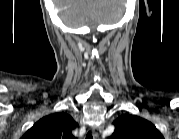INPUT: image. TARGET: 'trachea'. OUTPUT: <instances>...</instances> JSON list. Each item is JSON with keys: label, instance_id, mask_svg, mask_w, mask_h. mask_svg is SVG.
I'll return each instance as SVG.
<instances>
[{"label": "trachea", "instance_id": "trachea-1", "mask_svg": "<svg viewBox=\"0 0 179 139\" xmlns=\"http://www.w3.org/2000/svg\"><path fill=\"white\" fill-rule=\"evenodd\" d=\"M86 139H93V137H92L90 132L86 135Z\"/></svg>", "mask_w": 179, "mask_h": 139}]
</instances>
